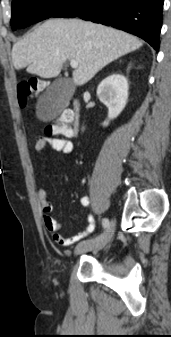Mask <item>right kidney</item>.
Masks as SVG:
<instances>
[{"label":"right kidney","instance_id":"right-kidney-1","mask_svg":"<svg viewBox=\"0 0 171 337\" xmlns=\"http://www.w3.org/2000/svg\"><path fill=\"white\" fill-rule=\"evenodd\" d=\"M128 88L126 77L120 74H112L99 84L97 96L108 108V119L103 122V126H107L109 121L116 118L125 108Z\"/></svg>","mask_w":171,"mask_h":337}]
</instances>
